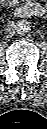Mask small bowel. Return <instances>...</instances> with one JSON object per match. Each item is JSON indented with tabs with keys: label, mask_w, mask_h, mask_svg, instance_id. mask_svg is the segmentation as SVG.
Returning a JSON list of instances; mask_svg holds the SVG:
<instances>
[{
	"label": "small bowel",
	"mask_w": 47,
	"mask_h": 129,
	"mask_svg": "<svg viewBox=\"0 0 47 129\" xmlns=\"http://www.w3.org/2000/svg\"><path fill=\"white\" fill-rule=\"evenodd\" d=\"M3 1H5L9 5H14L18 2V0H3Z\"/></svg>",
	"instance_id": "1"
}]
</instances>
